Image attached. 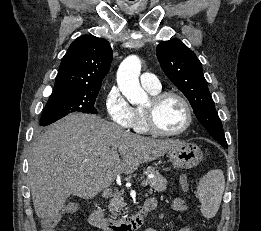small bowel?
<instances>
[{"label":"small bowel","mask_w":261,"mask_h":231,"mask_svg":"<svg viewBox=\"0 0 261 231\" xmlns=\"http://www.w3.org/2000/svg\"><path fill=\"white\" fill-rule=\"evenodd\" d=\"M181 179L183 180V182L185 183V187L183 188L184 191H187L188 190V182H187V179L185 176H182ZM148 202H151L153 204L154 207L157 206L158 204V201L156 198L154 197H151L147 200ZM173 208L177 211H185L187 209V205H186V202L183 200V199H180V198H176L172 204ZM144 231H156L154 229H146ZM179 231H193L191 227L189 226H186V227H183L181 228Z\"/></svg>","instance_id":"1"}]
</instances>
